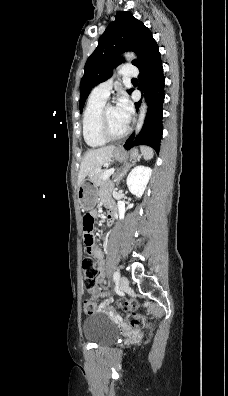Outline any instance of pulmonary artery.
Instances as JSON below:
<instances>
[{
    "label": "pulmonary artery",
    "mask_w": 228,
    "mask_h": 396,
    "mask_svg": "<svg viewBox=\"0 0 228 396\" xmlns=\"http://www.w3.org/2000/svg\"><path fill=\"white\" fill-rule=\"evenodd\" d=\"M120 73L125 78H135L138 75V69L133 66H124L121 69ZM112 86H113V79H108L95 86L92 90V93L95 96L107 99L111 93Z\"/></svg>",
    "instance_id": "e3ab8cb5"
}]
</instances>
